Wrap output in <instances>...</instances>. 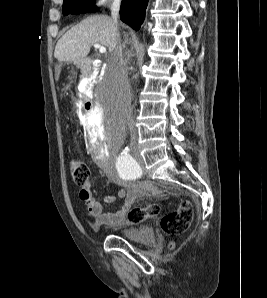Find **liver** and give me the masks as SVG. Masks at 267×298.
<instances>
[{"instance_id": "obj_1", "label": "liver", "mask_w": 267, "mask_h": 298, "mask_svg": "<svg viewBox=\"0 0 267 298\" xmlns=\"http://www.w3.org/2000/svg\"><path fill=\"white\" fill-rule=\"evenodd\" d=\"M118 36L112 18L106 15L90 16L59 39L54 57L59 62H78L86 58L95 43L106 46L112 52L118 44Z\"/></svg>"}]
</instances>
